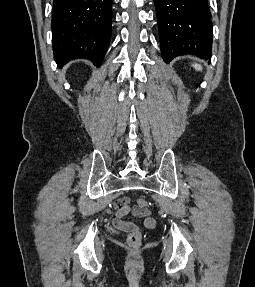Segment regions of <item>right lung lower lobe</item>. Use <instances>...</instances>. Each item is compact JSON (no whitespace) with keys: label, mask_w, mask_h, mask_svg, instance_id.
Listing matches in <instances>:
<instances>
[{"label":"right lung lower lobe","mask_w":255,"mask_h":287,"mask_svg":"<svg viewBox=\"0 0 255 287\" xmlns=\"http://www.w3.org/2000/svg\"><path fill=\"white\" fill-rule=\"evenodd\" d=\"M112 0H53L54 59L62 67L85 58L99 67L111 38Z\"/></svg>","instance_id":"1"}]
</instances>
